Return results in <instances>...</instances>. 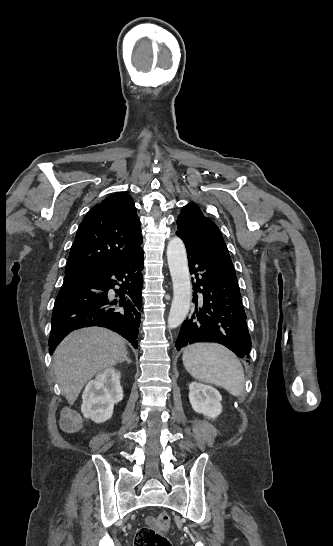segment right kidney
<instances>
[{
  "label": "right kidney",
  "instance_id": "ca27d5eb",
  "mask_svg": "<svg viewBox=\"0 0 333 546\" xmlns=\"http://www.w3.org/2000/svg\"><path fill=\"white\" fill-rule=\"evenodd\" d=\"M120 371L107 368L91 380L82 395L81 411L86 418L102 423L111 418L114 405L123 399Z\"/></svg>",
  "mask_w": 333,
  "mask_h": 546
}]
</instances>
